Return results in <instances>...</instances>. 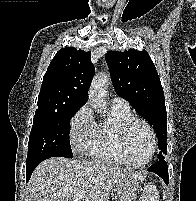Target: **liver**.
<instances>
[{
  "instance_id": "liver-1",
  "label": "liver",
  "mask_w": 196,
  "mask_h": 201,
  "mask_svg": "<svg viewBox=\"0 0 196 201\" xmlns=\"http://www.w3.org/2000/svg\"><path fill=\"white\" fill-rule=\"evenodd\" d=\"M126 178L143 176L106 161L49 158L32 173L27 201H109L111 190Z\"/></svg>"
}]
</instances>
